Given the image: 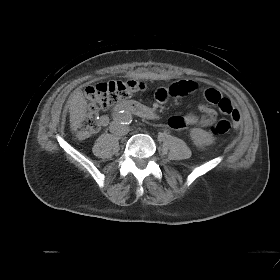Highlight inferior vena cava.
<instances>
[{
    "instance_id": "1",
    "label": "inferior vena cava",
    "mask_w": 280,
    "mask_h": 280,
    "mask_svg": "<svg viewBox=\"0 0 280 280\" xmlns=\"http://www.w3.org/2000/svg\"><path fill=\"white\" fill-rule=\"evenodd\" d=\"M109 128H110V132L117 136L126 135L128 133L127 127L121 125L119 122H112Z\"/></svg>"
}]
</instances>
